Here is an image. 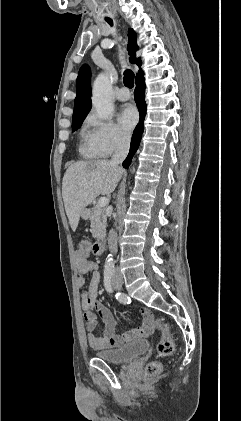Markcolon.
<instances>
[{
    "label": "colon",
    "mask_w": 241,
    "mask_h": 421,
    "mask_svg": "<svg viewBox=\"0 0 241 421\" xmlns=\"http://www.w3.org/2000/svg\"><path fill=\"white\" fill-rule=\"evenodd\" d=\"M78 253L83 256H89L93 253V244L87 240L80 241L78 245ZM156 327L161 332V339L157 345V352L160 357H168L174 352V341L170 334L169 326L161 319L156 320ZM162 369V365L158 361L150 362L146 367L148 376L157 375Z\"/></svg>",
    "instance_id": "obj_1"
}]
</instances>
